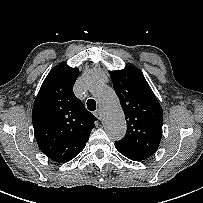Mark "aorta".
I'll return each instance as SVG.
<instances>
[{"label": "aorta", "mask_w": 203, "mask_h": 203, "mask_svg": "<svg viewBox=\"0 0 203 203\" xmlns=\"http://www.w3.org/2000/svg\"><path fill=\"white\" fill-rule=\"evenodd\" d=\"M87 86L99 104L107 135L112 140L122 139L126 133V120L114 90L94 77L88 80Z\"/></svg>", "instance_id": "762f6f07"}]
</instances>
